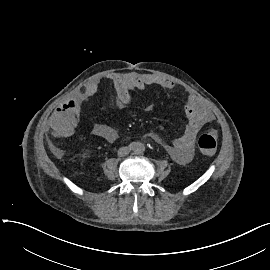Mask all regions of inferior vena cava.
<instances>
[{
	"instance_id": "1",
	"label": "inferior vena cava",
	"mask_w": 270,
	"mask_h": 270,
	"mask_svg": "<svg viewBox=\"0 0 270 270\" xmlns=\"http://www.w3.org/2000/svg\"><path fill=\"white\" fill-rule=\"evenodd\" d=\"M130 152V148L129 147H121L118 149V156L119 157H124L126 155H128Z\"/></svg>"
}]
</instances>
